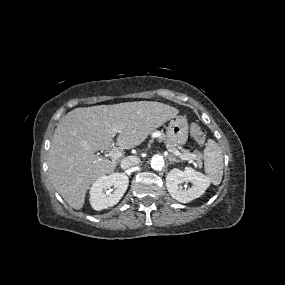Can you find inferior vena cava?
I'll return each instance as SVG.
<instances>
[{"label":"inferior vena cava","instance_id":"inferior-vena-cava-1","mask_svg":"<svg viewBox=\"0 0 285 285\" xmlns=\"http://www.w3.org/2000/svg\"><path fill=\"white\" fill-rule=\"evenodd\" d=\"M140 162V159L136 156H129V157H126L124 158L121 163H120V166L122 169H128L132 166H135L137 164H139Z\"/></svg>","mask_w":285,"mask_h":285}]
</instances>
